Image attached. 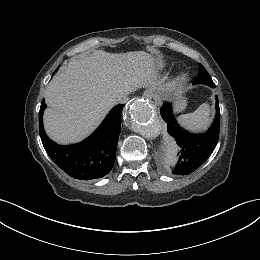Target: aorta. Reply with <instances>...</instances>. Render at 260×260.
<instances>
[{
    "label": "aorta",
    "mask_w": 260,
    "mask_h": 260,
    "mask_svg": "<svg viewBox=\"0 0 260 260\" xmlns=\"http://www.w3.org/2000/svg\"><path fill=\"white\" fill-rule=\"evenodd\" d=\"M126 123L134 132L146 138H154L162 131L151 105L143 99H135L131 103L126 113ZM167 142L176 149V143L171 138Z\"/></svg>",
    "instance_id": "762f6f07"
}]
</instances>
